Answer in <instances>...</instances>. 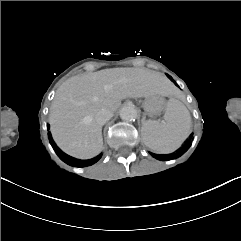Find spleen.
I'll return each instance as SVG.
<instances>
[{"mask_svg": "<svg viewBox=\"0 0 241 241\" xmlns=\"http://www.w3.org/2000/svg\"><path fill=\"white\" fill-rule=\"evenodd\" d=\"M191 132V116L179 100H168L164 122L144 121L141 127L142 141L156 153H171L178 149Z\"/></svg>", "mask_w": 241, "mask_h": 241, "instance_id": "3e777b00", "label": "spleen"}]
</instances>
